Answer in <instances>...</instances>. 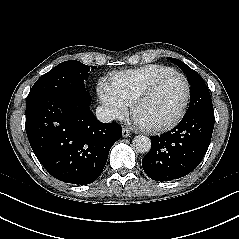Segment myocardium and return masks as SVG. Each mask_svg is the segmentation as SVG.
I'll use <instances>...</instances> for the list:
<instances>
[{
	"instance_id": "1",
	"label": "myocardium",
	"mask_w": 239,
	"mask_h": 239,
	"mask_svg": "<svg viewBox=\"0 0 239 239\" xmlns=\"http://www.w3.org/2000/svg\"><path fill=\"white\" fill-rule=\"evenodd\" d=\"M173 75L181 77L182 80L184 81L186 92H185V97L183 100L182 107H181L180 111L178 112V114L169 122L160 124V125H155V126H146L145 129L150 132L161 133V132L169 131V130L173 129L174 127H176L182 121V119L184 118V116L187 112L190 98H191V86H190V83H189L187 77L182 72H179L176 70H170L163 74H160L157 77H155L150 83H148L143 89H141L137 93V95L135 96L134 100L131 103V113L135 117L138 107L146 99H148L151 96V94L155 91L157 86L164 79L168 78L169 76H173Z\"/></svg>"
}]
</instances>
